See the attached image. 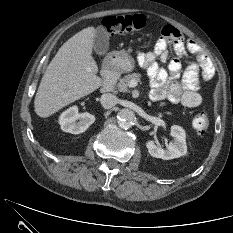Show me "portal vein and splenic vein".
Here are the masks:
<instances>
[{
  "instance_id": "18ae733b",
  "label": "portal vein and splenic vein",
  "mask_w": 233,
  "mask_h": 233,
  "mask_svg": "<svg viewBox=\"0 0 233 233\" xmlns=\"http://www.w3.org/2000/svg\"><path fill=\"white\" fill-rule=\"evenodd\" d=\"M137 85V82L135 80L130 81V86L135 87Z\"/></svg>"
}]
</instances>
